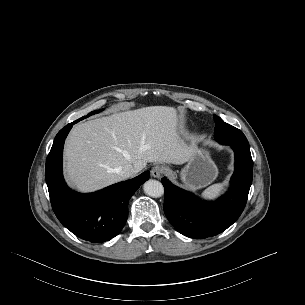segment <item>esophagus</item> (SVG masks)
Returning a JSON list of instances; mask_svg holds the SVG:
<instances>
[{"label": "esophagus", "mask_w": 305, "mask_h": 305, "mask_svg": "<svg viewBox=\"0 0 305 305\" xmlns=\"http://www.w3.org/2000/svg\"><path fill=\"white\" fill-rule=\"evenodd\" d=\"M164 168L161 165H155L151 169V176L154 178H160L163 174Z\"/></svg>", "instance_id": "obj_1"}]
</instances>
